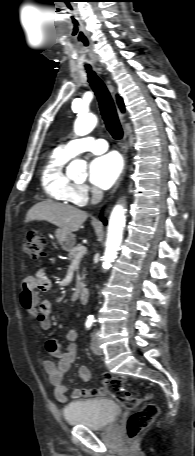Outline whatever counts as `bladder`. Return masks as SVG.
<instances>
[{
  "label": "bladder",
  "instance_id": "1",
  "mask_svg": "<svg viewBox=\"0 0 195 456\" xmlns=\"http://www.w3.org/2000/svg\"><path fill=\"white\" fill-rule=\"evenodd\" d=\"M121 413V407L111 399L72 402L63 409V417L69 425L85 426L93 430L110 428Z\"/></svg>",
  "mask_w": 195,
  "mask_h": 456
}]
</instances>
